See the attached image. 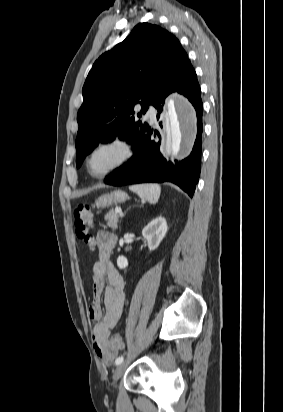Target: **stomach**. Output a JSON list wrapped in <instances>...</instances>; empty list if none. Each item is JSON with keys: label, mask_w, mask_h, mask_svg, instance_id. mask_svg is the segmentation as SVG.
<instances>
[{"label": "stomach", "mask_w": 283, "mask_h": 412, "mask_svg": "<svg viewBox=\"0 0 283 412\" xmlns=\"http://www.w3.org/2000/svg\"><path fill=\"white\" fill-rule=\"evenodd\" d=\"M128 199V195L121 190H117L105 195L100 196L95 204L97 207L105 208L109 207L113 203H121Z\"/></svg>", "instance_id": "0dacf381"}]
</instances>
